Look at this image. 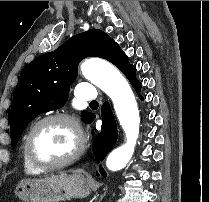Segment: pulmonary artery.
Returning <instances> with one entry per match:
<instances>
[{"mask_svg":"<svg viewBox=\"0 0 209 202\" xmlns=\"http://www.w3.org/2000/svg\"><path fill=\"white\" fill-rule=\"evenodd\" d=\"M77 98L82 101H96L98 93L96 88L89 86L88 84H81L79 85Z\"/></svg>","mask_w":209,"mask_h":202,"instance_id":"pulmonary-artery-1","label":"pulmonary artery"}]
</instances>
